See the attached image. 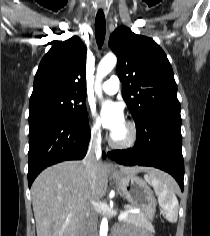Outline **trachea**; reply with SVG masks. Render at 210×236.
<instances>
[{"mask_svg": "<svg viewBox=\"0 0 210 236\" xmlns=\"http://www.w3.org/2000/svg\"><path fill=\"white\" fill-rule=\"evenodd\" d=\"M106 33L105 16L102 9H99L95 19V35L99 46L103 45Z\"/></svg>", "mask_w": 210, "mask_h": 236, "instance_id": "obj_1", "label": "trachea"}]
</instances>
